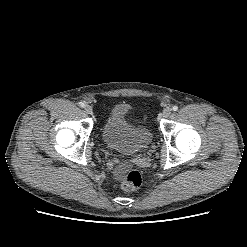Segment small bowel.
Masks as SVG:
<instances>
[{
	"mask_svg": "<svg viewBox=\"0 0 247 247\" xmlns=\"http://www.w3.org/2000/svg\"><path fill=\"white\" fill-rule=\"evenodd\" d=\"M125 170V167L124 166H118L116 169H115V175L116 177H121L123 172Z\"/></svg>",
	"mask_w": 247,
	"mask_h": 247,
	"instance_id": "small-bowel-1",
	"label": "small bowel"
}]
</instances>
